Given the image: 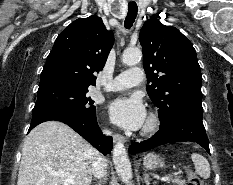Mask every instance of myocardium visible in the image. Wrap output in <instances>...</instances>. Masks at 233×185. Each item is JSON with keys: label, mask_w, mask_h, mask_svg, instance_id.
Masks as SVG:
<instances>
[{"label": "myocardium", "mask_w": 233, "mask_h": 185, "mask_svg": "<svg viewBox=\"0 0 233 185\" xmlns=\"http://www.w3.org/2000/svg\"><path fill=\"white\" fill-rule=\"evenodd\" d=\"M160 125H161V119L158 113L150 112L142 128L141 133L143 135H152L159 130Z\"/></svg>", "instance_id": "f54148a6"}]
</instances>
